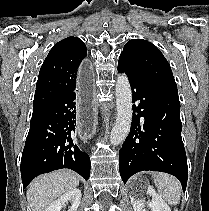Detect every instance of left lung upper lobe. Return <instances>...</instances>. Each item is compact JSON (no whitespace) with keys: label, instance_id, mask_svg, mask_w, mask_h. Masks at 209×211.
<instances>
[{"label":"left lung upper lobe","instance_id":"left-lung-upper-lobe-1","mask_svg":"<svg viewBox=\"0 0 209 211\" xmlns=\"http://www.w3.org/2000/svg\"><path fill=\"white\" fill-rule=\"evenodd\" d=\"M119 60L126 61L143 78L160 87L177 92L169 63L152 43L133 39L124 46Z\"/></svg>","mask_w":209,"mask_h":211}]
</instances>
